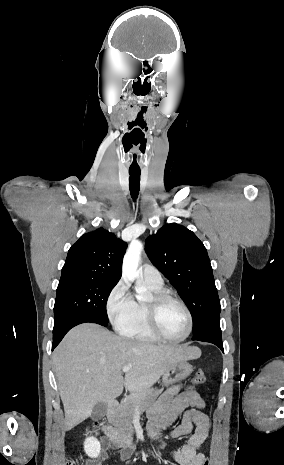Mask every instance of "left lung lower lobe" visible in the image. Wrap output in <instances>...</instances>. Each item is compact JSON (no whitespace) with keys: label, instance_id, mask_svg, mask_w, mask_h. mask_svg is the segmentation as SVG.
I'll list each match as a JSON object with an SVG mask.
<instances>
[{"label":"left lung lower lobe","instance_id":"1","mask_svg":"<svg viewBox=\"0 0 284 465\" xmlns=\"http://www.w3.org/2000/svg\"><path fill=\"white\" fill-rule=\"evenodd\" d=\"M192 340L210 342L218 346L223 352V343L221 329L219 324H210L196 334H193Z\"/></svg>","mask_w":284,"mask_h":465}]
</instances>
